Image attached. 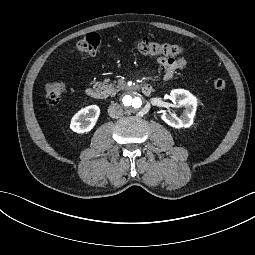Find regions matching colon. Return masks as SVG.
Here are the masks:
<instances>
[{
  "mask_svg": "<svg viewBox=\"0 0 255 255\" xmlns=\"http://www.w3.org/2000/svg\"><path fill=\"white\" fill-rule=\"evenodd\" d=\"M133 47L141 54L145 55H165L176 56L184 52L182 46L170 43H161L149 40L147 38L136 39L133 41ZM100 50V38L95 33H89L80 39L74 47V51L79 54L96 56ZM214 88L223 90L226 87V82L221 79L214 80ZM46 101L50 105H56L61 100L66 92L64 82L51 80L46 82L44 86Z\"/></svg>",
  "mask_w": 255,
  "mask_h": 255,
  "instance_id": "colon-1",
  "label": "colon"
}]
</instances>
